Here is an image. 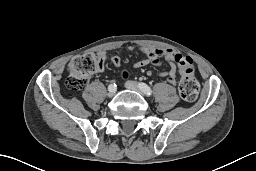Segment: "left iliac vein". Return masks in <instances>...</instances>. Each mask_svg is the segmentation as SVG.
I'll return each mask as SVG.
<instances>
[{"label":"left iliac vein","mask_w":256,"mask_h":171,"mask_svg":"<svg viewBox=\"0 0 256 171\" xmlns=\"http://www.w3.org/2000/svg\"><path fill=\"white\" fill-rule=\"evenodd\" d=\"M125 87L129 90H134V91H137V92H140L142 93L143 91L139 88L138 84L134 81H127L125 83Z\"/></svg>","instance_id":"4c4485c4"}]
</instances>
